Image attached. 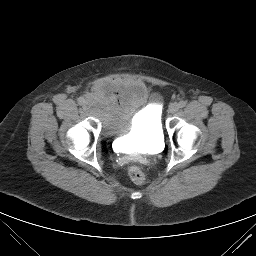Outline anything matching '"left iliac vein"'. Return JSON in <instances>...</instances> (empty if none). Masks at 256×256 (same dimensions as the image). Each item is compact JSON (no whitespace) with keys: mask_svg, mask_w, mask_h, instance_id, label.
Instances as JSON below:
<instances>
[{"mask_svg":"<svg viewBox=\"0 0 256 256\" xmlns=\"http://www.w3.org/2000/svg\"><path fill=\"white\" fill-rule=\"evenodd\" d=\"M179 109V104L177 103H172L170 106H169V112L174 114L175 112H177Z\"/></svg>","mask_w":256,"mask_h":256,"instance_id":"left-iliac-vein-1","label":"left iliac vein"}]
</instances>
